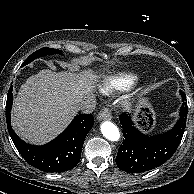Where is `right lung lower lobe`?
<instances>
[{
	"instance_id": "1",
	"label": "right lung lower lobe",
	"mask_w": 194,
	"mask_h": 194,
	"mask_svg": "<svg viewBox=\"0 0 194 194\" xmlns=\"http://www.w3.org/2000/svg\"><path fill=\"white\" fill-rule=\"evenodd\" d=\"M13 87L11 86L6 102V123L9 135L21 156L33 167L45 172H63L73 169L80 160L86 135L94 125L91 114H80L70 125L50 143L34 146L25 143L11 127Z\"/></svg>"
}]
</instances>
